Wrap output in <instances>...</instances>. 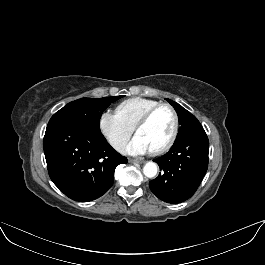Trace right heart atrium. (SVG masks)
Segmentation results:
<instances>
[{"label":"right heart atrium","mask_w":265,"mask_h":265,"mask_svg":"<svg viewBox=\"0 0 265 265\" xmlns=\"http://www.w3.org/2000/svg\"><path fill=\"white\" fill-rule=\"evenodd\" d=\"M99 126L110 145L118 151L123 149L133 131L116 113L110 111L101 114Z\"/></svg>","instance_id":"1"}]
</instances>
